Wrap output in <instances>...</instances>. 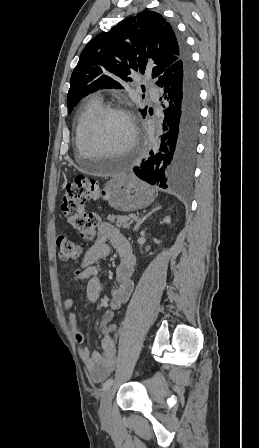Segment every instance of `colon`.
Instances as JSON below:
<instances>
[{
    "mask_svg": "<svg viewBox=\"0 0 259 448\" xmlns=\"http://www.w3.org/2000/svg\"><path fill=\"white\" fill-rule=\"evenodd\" d=\"M105 197V192L98 182L86 176H78L68 183L61 198V211L67 223L82 237L93 235L100 220L97 214L85 211V203L89 200H99ZM59 258L65 263H76L81 257V247L66 236L57 239Z\"/></svg>",
    "mask_w": 259,
    "mask_h": 448,
    "instance_id": "1",
    "label": "colon"
}]
</instances>
